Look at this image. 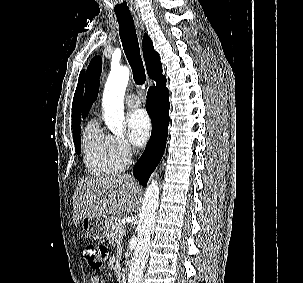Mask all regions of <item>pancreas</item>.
Returning <instances> with one entry per match:
<instances>
[{"label": "pancreas", "instance_id": "pancreas-1", "mask_svg": "<svg viewBox=\"0 0 303 283\" xmlns=\"http://www.w3.org/2000/svg\"><path fill=\"white\" fill-rule=\"evenodd\" d=\"M123 230L124 225L118 222V220H114L111 231L107 236L109 243H119L120 241H122L125 235V232H123Z\"/></svg>", "mask_w": 303, "mask_h": 283}]
</instances>
